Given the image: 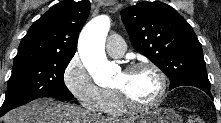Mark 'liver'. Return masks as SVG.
I'll return each instance as SVG.
<instances>
[{"mask_svg":"<svg viewBox=\"0 0 221 123\" xmlns=\"http://www.w3.org/2000/svg\"><path fill=\"white\" fill-rule=\"evenodd\" d=\"M4 123H132L133 119L103 118L77 106L50 98L38 99L13 109L3 117Z\"/></svg>","mask_w":221,"mask_h":123,"instance_id":"6515ba94","label":"liver"}]
</instances>
